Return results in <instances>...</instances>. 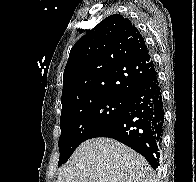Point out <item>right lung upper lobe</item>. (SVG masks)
Returning <instances> with one entry per match:
<instances>
[{
	"instance_id": "1",
	"label": "right lung upper lobe",
	"mask_w": 196,
	"mask_h": 182,
	"mask_svg": "<svg viewBox=\"0 0 196 182\" xmlns=\"http://www.w3.org/2000/svg\"><path fill=\"white\" fill-rule=\"evenodd\" d=\"M153 71L139 30L122 15H111L72 47L63 75L62 112L100 97L128 99Z\"/></svg>"
}]
</instances>
